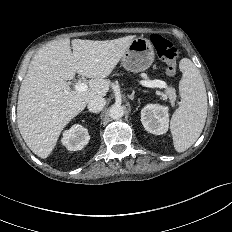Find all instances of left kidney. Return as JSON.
Segmentation results:
<instances>
[{
  "label": "left kidney",
  "mask_w": 232,
  "mask_h": 232,
  "mask_svg": "<svg viewBox=\"0 0 232 232\" xmlns=\"http://www.w3.org/2000/svg\"><path fill=\"white\" fill-rule=\"evenodd\" d=\"M141 122L146 131L165 134L169 126V109L159 104H148L141 110Z\"/></svg>",
  "instance_id": "left-kidney-1"
}]
</instances>
